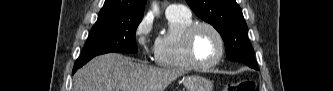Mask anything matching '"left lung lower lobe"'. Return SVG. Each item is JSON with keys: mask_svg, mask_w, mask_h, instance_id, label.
Listing matches in <instances>:
<instances>
[{"mask_svg": "<svg viewBox=\"0 0 333 91\" xmlns=\"http://www.w3.org/2000/svg\"><path fill=\"white\" fill-rule=\"evenodd\" d=\"M251 68H255L253 64L249 65Z\"/></svg>", "mask_w": 333, "mask_h": 91, "instance_id": "left-lung-lower-lobe-1", "label": "left lung lower lobe"}]
</instances>
